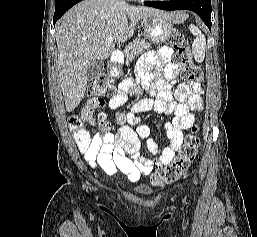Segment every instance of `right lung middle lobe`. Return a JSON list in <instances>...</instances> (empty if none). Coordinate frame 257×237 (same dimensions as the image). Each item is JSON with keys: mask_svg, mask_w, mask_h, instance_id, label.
Returning <instances> with one entry per match:
<instances>
[{"mask_svg": "<svg viewBox=\"0 0 257 237\" xmlns=\"http://www.w3.org/2000/svg\"><path fill=\"white\" fill-rule=\"evenodd\" d=\"M61 1H63V0H56V3L61 2Z\"/></svg>", "mask_w": 257, "mask_h": 237, "instance_id": "obj_1", "label": "right lung middle lobe"}]
</instances>
